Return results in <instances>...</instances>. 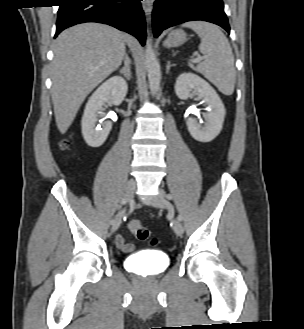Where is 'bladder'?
I'll list each match as a JSON object with an SVG mask.
<instances>
[{
    "mask_svg": "<svg viewBox=\"0 0 304 329\" xmlns=\"http://www.w3.org/2000/svg\"><path fill=\"white\" fill-rule=\"evenodd\" d=\"M132 260V257H129L125 260L126 264L130 263ZM161 265L157 267V270L156 271H153V272H150V273H142V272H135L134 270H132L134 273L138 274V275H141V276H156L158 275L162 269L165 268V264H164V260L161 261ZM130 267V266H128Z\"/></svg>",
    "mask_w": 304,
    "mask_h": 329,
    "instance_id": "31cf9c89",
    "label": "bladder"
}]
</instances>
